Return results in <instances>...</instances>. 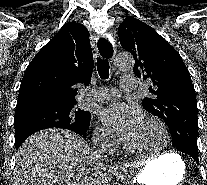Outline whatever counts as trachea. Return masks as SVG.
I'll list each match as a JSON object with an SVG mask.
<instances>
[{
    "label": "trachea",
    "instance_id": "3493384b",
    "mask_svg": "<svg viewBox=\"0 0 207 185\" xmlns=\"http://www.w3.org/2000/svg\"><path fill=\"white\" fill-rule=\"evenodd\" d=\"M98 49L103 59L97 58V70L101 78L107 79L109 77V63L106 58H110L113 55V47L108 40L100 38Z\"/></svg>",
    "mask_w": 207,
    "mask_h": 185
}]
</instances>
